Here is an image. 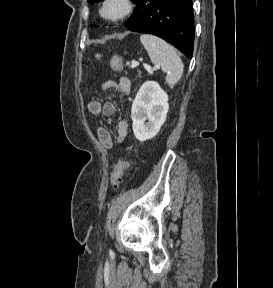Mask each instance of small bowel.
Wrapping results in <instances>:
<instances>
[{
	"label": "small bowel",
	"mask_w": 273,
	"mask_h": 288,
	"mask_svg": "<svg viewBox=\"0 0 273 288\" xmlns=\"http://www.w3.org/2000/svg\"><path fill=\"white\" fill-rule=\"evenodd\" d=\"M102 91L109 97L115 94L120 98H126L130 93V82L127 78H120L118 81L109 80L102 84ZM88 111L94 117L112 116L116 111V106L113 101L106 98L103 101L93 100L88 103ZM128 135V123L126 120H121L117 127V143L125 142ZM99 142L107 149L113 147V139L110 131L106 127H100L97 131Z\"/></svg>",
	"instance_id": "small-bowel-1"
}]
</instances>
